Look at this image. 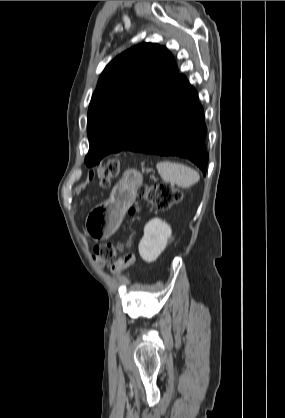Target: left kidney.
I'll list each match as a JSON object with an SVG mask.
<instances>
[{"instance_id": "left-kidney-1", "label": "left kidney", "mask_w": 285, "mask_h": 418, "mask_svg": "<svg viewBox=\"0 0 285 418\" xmlns=\"http://www.w3.org/2000/svg\"><path fill=\"white\" fill-rule=\"evenodd\" d=\"M171 227L160 218L151 219L144 227V235L139 243L141 258L151 263L155 261L167 246L171 237Z\"/></svg>"}]
</instances>
